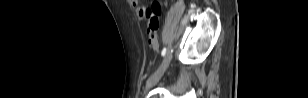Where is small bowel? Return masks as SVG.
<instances>
[{"instance_id": "1", "label": "small bowel", "mask_w": 308, "mask_h": 98, "mask_svg": "<svg viewBox=\"0 0 308 98\" xmlns=\"http://www.w3.org/2000/svg\"><path fill=\"white\" fill-rule=\"evenodd\" d=\"M131 4H132L133 6H136L137 1H136V0H132V1H131ZM142 9H143V8H142ZM142 17L146 18V16H142ZM149 24H150V22H149Z\"/></svg>"}]
</instances>
